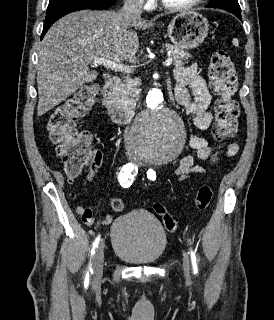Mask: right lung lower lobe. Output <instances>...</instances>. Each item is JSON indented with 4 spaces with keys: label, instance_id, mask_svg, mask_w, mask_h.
<instances>
[{
    "label": "right lung lower lobe",
    "instance_id": "obj_1",
    "mask_svg": "<svg viewBox=\"0 0 274 320\" xmlns=\"http://www.w3.org/2000/svg\"><path fill=\"white\" fill-rule=\"evenodd\" d=\"M115 2L116 0H78L50 8L46 13L41 39L54 22L69 13L84 9L105 10L111 7Z\"/></svg>",
    "mask_w": 274,
    "mask_h": 320
}]
</instances>
